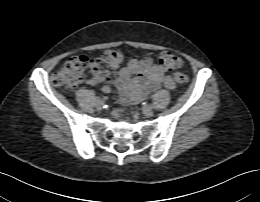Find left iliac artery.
Masks as SVG:
<instances>
[{
    "label": "left iliac artery",
    "instance_id": "left-iliac-artery-1",
    "mask_svg": "<svg viewBox=\"0 0 260 202\" xmlns=\"http://www.w3.org/2000/svg\"><path fill=\"white\" fill-rule=\"evenodd\" d=\"M143 105H149V102H147V101L143 102Z\"/></svg>",
    "mask_w": 260,
    "mask_h": 202
}]
</instances>
